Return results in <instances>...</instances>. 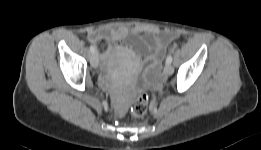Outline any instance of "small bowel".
<instances>
[{"mask_svg":"<svg viewBox=\"0 0 261 150\" xmlns=\"http://www.w3.org/2000/svg\"><path fill=\"white\" fill-rule=\"evenodd\" d=\"M150 36L149 42L134 43L138 56H144L147 64L146 78L153 81L159 71L160 60L164 56L167 45L178 37V33L170 30H161L154 25H138L132 28L127 27H103L88 32V40L97 44L98 48L105 50L108 42L119 40H130L141 34ZM141 66V62L136 59L133 63V70L136 71Z\"/></svg>","mask_w":261,"mask_h":150,"instance_id":"obj_1","label":"small bowel"}]
</instances>
